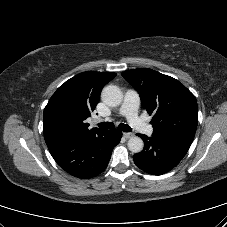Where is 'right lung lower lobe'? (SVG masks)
Instances as JSON below:
<instances>
[{
  "label": "right lung lower lobe",
  "instance_id": "1",
  "mask_svg": "<svg viewBox=\"0 0 227 227\" xmlns=\"http://www.w3.org/2000/svg\"><path fill=\"white\" fill-rule=\"evenodd\" d=\"M121 137L122 132L117 129L101 130L48 148L63 170L77 178H92L106 169Z\"/></svg>",
  "mask_w": 227,
  "mask_h": 227
}]
</instances>
